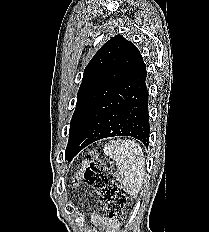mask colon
Here are the masks:
<instances>
[{"mask_svg": "<svg viewBox=\"0 0 209 232\" xmlns=\"http://www.w3.org/2000/svg\"><path fill=\"white\" fill-rule=\"evenodd\" d=\"M83 180L105 202L109 219L117 221L124 216L126 196L114 180L104 163L96 158L89 157L83 172Z\"/></svg>", "mask_w": 209, "mask_h": 232, "instance_id": "1", "label": "colon"}]
</instances>
